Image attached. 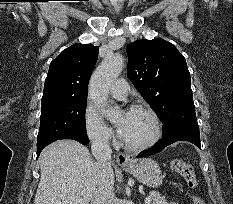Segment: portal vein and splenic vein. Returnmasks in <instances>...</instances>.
Wrapping results in <instances>:
<instances>
[{"instance_id":"obj_1","label":"portal vein and splenic vein","mask_w":233,"mask_h":204,"mask_svg":"<svg viewBox=\"0 0 233 204\" xmlns=\"http://www.w3.org/2000/svg\"><path fill=\"white\" fill-rule=\"evenodd\" d=\"M152 201V196H148L146 199H145V204H150Z\"/></svg>"}]
</instances>
